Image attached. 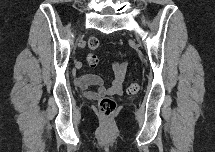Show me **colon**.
Returning <instances> with one entry per match:
<instances>
[{"label": "colon", "instance_id": "obj_1", "mask_svg": "<svg viewBox=\"0 0 215 152\" xmlns=\"http://www.w3.org/2000/svg\"><path fill=\"white\" fill-rule=\"evenodd\" d=\"M88 47L92 50L97 49L99 47L98 38L91 37L88 40ZM86 60L91 67H95L99 63V59L95 54H89ZM139 89L140 86L138 82L134 81L127 86L126 92L128 94H136L139 91ZM116 107H117L116 102L111 97H102L98 102V108L104 116H111L116 111Z\"/></svg>", "mask_w": 215, "mask_h": 152}]
</instances>
